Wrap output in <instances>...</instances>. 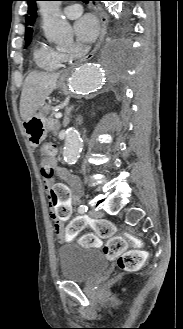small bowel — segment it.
Listing matches in <instances>:
<instances>
[{
  "label": "small bowel",
  "instance_id": "obj_1",
  "mask_svg": "<svg viewBox=\"0 0 183 329\" xmlns=\"http://www.w3.org/2000/svg\"><path fill=\"white\" fill-rule=\"evenodd\" d=\"M51 165L57 169L58 176L68 185L66 187L65 182H52L51 187L48 184L45 187L49 198L50 214L55 221L54 234L59 241L64 242L67 240L64 227L68 225L65 219L71 215L74 204L80 201V180L65 168L58 167L55 162H52Z\"/></svg>",
  "mask_w": 183,
  "mask_h": 329
}]
</instances>
